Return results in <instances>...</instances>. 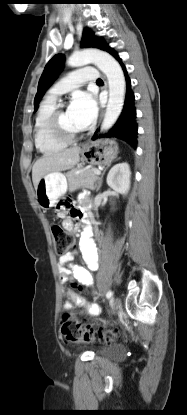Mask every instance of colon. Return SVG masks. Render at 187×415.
Here are the masks:
<instances>
[{"instance_id":"obj_1","label":"colon","mask_w":187,"mask_h":415,"mask_svg":"<svg viewBox=\"0 0 187 415\" xmlns=\"http://www.w3.org/2000/svg\"><path fill=\"white\" fill-rule=\"evenodd\" d=\"M52 236L55 242V252L58 256L69 253L75 244L73 236L67 232L60 224H52ZM61 335L70 342H111L120 339L123 335L122 330L116 327L112 330L94 331L89 327L82 326L70 313L63 315Z\"/></svg>"}]
</instances>
